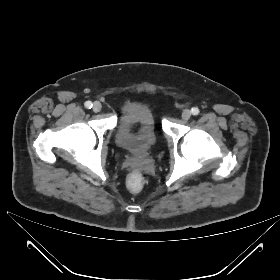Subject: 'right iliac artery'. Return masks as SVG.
Here are the masks:
<instances>
[{
	"label": "right iliac artery",
	"instance_id": "82829eb1",
	"mask_svg": "<svg viewBox=\"0 0 280 280\" xmlns=\"http://www.w3.org/2000/svg\"><path fill=\"white\" fill-rule=\"evenodd\" d=\"M93 106L92 102L91 101H87L85 102V107L88 108V109H91Z\"/></svg>",
	"mask_w": 280,
	"mask_h": 280
}]
</instances>
